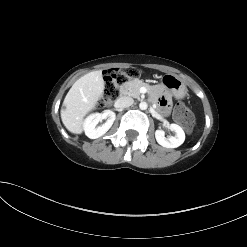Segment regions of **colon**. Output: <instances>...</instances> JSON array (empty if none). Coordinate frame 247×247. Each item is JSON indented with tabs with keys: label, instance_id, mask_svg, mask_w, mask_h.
<instances>
[{
	"label": "colon",
	"instance_id": "5ec220e1",
	"mask_svg": "<svg viewBox=\"0 0 247 247\" xmlns=\"http://www.w3.org/2000/svg\"><path fill=\"white\" fill-rule=\"evenodd\" d=\"M139 75L138 69L134 67L115 68L109 71L105 77V85L102 100L103 103H111L119 96V87L130 79ZM174 117L176 121L187 131L190 132L194 127V115L183 103H178L175 107Z\"/></svg>",
	"mask_w": 247,
	"mask_h": 247
}]
</instances>
